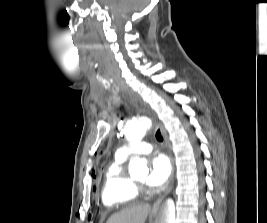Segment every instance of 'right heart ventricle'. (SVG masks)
<instances>
[{
    "instance_id": "1",
    "label": "right heart ventricle",
    "mask_w": 267,
    "mask_h": 223,
    "mask_svg": "<svg viewBox=\"0 0 267 223\" xmlns=\"http://www.w3.org/2000/svg\"><path fill=\"white\" fill-rule=\"evenodd\" d=\"M126 157L116 155L108 166L103 181L101 201L108 208H118L137 198V191L124 170Z\"/></svg>"
}]
</instances>
